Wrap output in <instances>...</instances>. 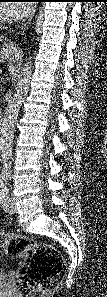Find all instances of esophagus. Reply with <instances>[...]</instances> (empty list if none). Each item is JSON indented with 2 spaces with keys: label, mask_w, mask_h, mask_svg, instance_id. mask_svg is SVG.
<instances>
[{
  "label": "esophagus",
  "mask_w": 107,
  "mask_h": 297,
  "mask_svg": "<svg viewBox=\"0 0 107 297\" xmlns=\"http://www.w3.org/2000/svg\"><path fill=\"white\" fill-rule=\"evenodd\" d=\"M36 8H37V5L32 4L27 16L25 17V19L22 22L21 31H24L26 29V27L30 24L31 19L33 18L34 14H35Z\"/></svg>",
  "instance_id": "1"
}]
</instances>
